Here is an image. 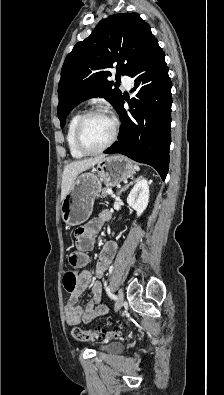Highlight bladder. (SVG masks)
I'll return each mask as SVG.
<instances>
[{"label": "bladder", "instance_id": "31cf9c89", "mask_svg": "<svg viewBox=\"0 0 224 395\" xmlns=\"http://www.w3.org/2000/svg\"><path fill=\"white\" fill-rule=\"evenodd\" d=\"M123 349V345L117 342L105 343L100 346V350L108 353H118Z\"/></svg>", "mask_w": 224, "mask_h": 395}]
</instances>
